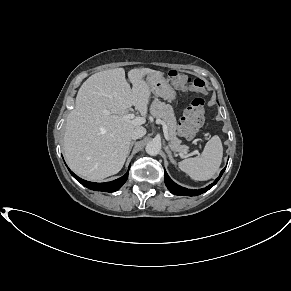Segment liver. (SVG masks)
Returning <instances> with one entry per match:
<instances>
[{
  "instance_id": "1",
  "label": "liver",
  "mask_w": 291,
  "mask_h": 291,
  "mask_svg": "<svg viewBox=\"0 0 291 291\" xmlns=\"http://www.w3.org/2000/svg\"><path fill=\"white\" fill-rule=\"evenodd\" d=\"M155 73L161 72L149 68L130 70L132 89L123 68L95 73L82 84L64 133L65 157L76 174L102 180L122 169L131 133L142 127L124 116L135 106L145 120L151 90L144 77Z\"/></svg>"
}]
</instances>
